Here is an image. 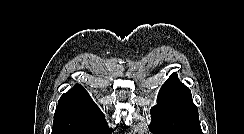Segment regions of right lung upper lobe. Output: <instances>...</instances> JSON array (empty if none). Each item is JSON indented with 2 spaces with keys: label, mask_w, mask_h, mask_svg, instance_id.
Masks as SVG:
<instances>
[{
  "label": "right lung upper lobe",
  "mask_w": 244,
  "mask_h": 134,
  "mask_svg": "<svg viewBox=\"0 0 244 134\" xmlns=\"http://www.w3.org/2000/svg\"><path fill=\"white\" fill-rule=\"evenodd\" d=\"M55 118L72 117L78 119L104 118L101 110L92 101L88 92L79 84L63 94L58 102Z\"/></svg>",
  "instance_id": "right-lung-upper-lobe-1"
}]
</instances>
